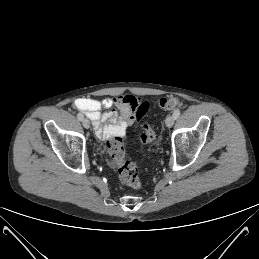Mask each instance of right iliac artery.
I'll return each mask as SVG.
<instances>
[{
    "instance_id": "82829eb1",
    "label": "right iliac artery",
    "mask_w": 259,
    "mask_h": 259,
    "mask_svg": "<svg viewBox=\"0 0 259 259\" xmlns=\"http://www.w3.org/2000/svg\"><path fill=\"white\" fill-rule=\"evenodd\" d=\"M77 118H78L80 121H82V120L84 119V116H83L82 113H78V114H77Z\"/></svg>"
}]
</instances>
